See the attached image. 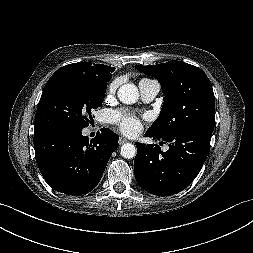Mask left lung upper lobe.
Listing matches in <instances>:
<instances>
[{"label": "left lung upper lobe", "mask_w": 253, "mask_h": 253, "mask_svg": "<svg viewBox=\"0 0 253 253\" xmlns=\"http://www.w3.org/2000/svg\"><path fill=\"white\" fill-rule=\"evenodd\" d=\"M135 67L155 77L166 96L148 132L165 138L195 128L214 130L215 97L203 70L182 61Z\"/></svg>", "instance_id": "left-lung-upper-lobe-1"}]
</instances>
